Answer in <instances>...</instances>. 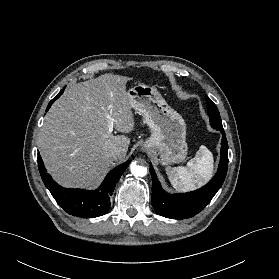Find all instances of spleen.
<instances>
[{
	"instance_id": "obj_1",
	"label": "spleen",
	"mask_w": 279,
	"mask_h": 279,
	"mask_svg": "<svg viewBox=\"0 0 279 279\" xmlns=\"http://www.w3.org/2000/svg\"><path fill=\"white\" fill-rule=\"evenodd\" d=\"M213 172V155L201 146L195 157L184 167H167L166 173L176 190L187 191L195 188L202 180H208Z\"/></svg>"
}]
</instances>
